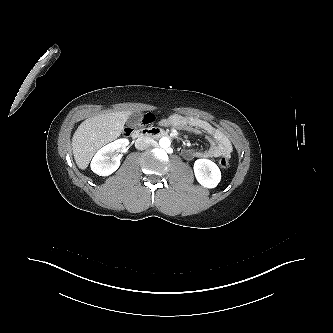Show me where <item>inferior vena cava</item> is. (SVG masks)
<instances>
[{"label":"inferior vena cava","mask_w":333,"mask_h":333,"mask_svg":"<svg viewBox=\"0 0 333 333\" xmlns=\"http://www.w3.org/2000/svg\"><path fill=\"white\" fill-rule=\"evenodd\" d=\"M151 145V140L148 137H139L135 141V147L138 150H144Z\"/></svg>","instance_id":"602c4592"}]
</instances>
